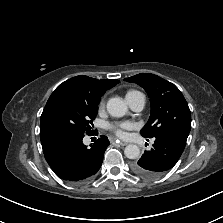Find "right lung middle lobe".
<instances>
[{
	"label": "right lung middle lobe",
	"instance_id": "right-lung-middle-lobe-1",
	"mask_svg": "<svg viewBox=\"0 0 223 223\" xmlns=\"http://www.w3.org/2000/svg\"><path fill=\"white\" fill-rule=\"evenodd\" d=\"M99 100L64 94L48 101L40 122V137L56 133H91Z\"/></svg>",
	"mask_w": 223,
	"mask_h": 223
}]
</instances>
